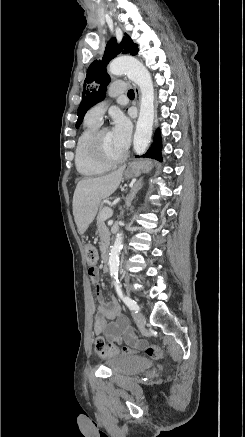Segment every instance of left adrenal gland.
I'll return each instance as SVG.
<instances>
[{
    "label": "left adrenal gland",
    "mask_w": 245,
    "mask_h": 437,
    "mask_svg": "<svg viewBox=\"0 0 245 437\" xmlns=\"http://www.w3.org/2000/svg\"><path fill=\"white\" fill-rule=\"evenodd\" d=\"M142 186H143V178L141 177L137 180V182L131 188L129 194L126 196L125 202L127 207L131 206L133 199L135 198L138 191L141 190Z\"/></svg>",
    "instance_id": "a2214340"
}]
</instances>
